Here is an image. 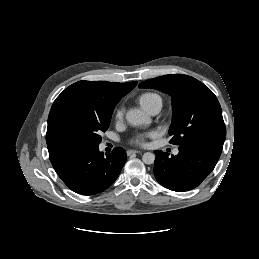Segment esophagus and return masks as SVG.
I'll use <instances>...</instances> for the list:
<instances>
[{
  "label": "esophagus",
  "mask_w": 259,
  "mask_h": 259,
  "mask_svg": "<svg viewBox=\"0 0 259 259\" xmlns=\"http://www.w3.org/2000/svg\"><path fill=\"white\" fill-rule=\"evenodd\" d=\"M140 153H141V151H138V150H128L127 151L128 156H131L133 154H140Z\"/></svg>",
  "instance_id": "34e87169"
}]
</instances>
